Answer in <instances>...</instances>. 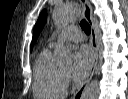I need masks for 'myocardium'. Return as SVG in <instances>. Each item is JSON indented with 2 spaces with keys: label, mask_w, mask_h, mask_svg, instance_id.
<instances>
[{
  "label": "myocardium",
  "mask_w": 128,
  "mask_h": 99,
  "mask_svg": "<svg viewBox=\"0 0 128 99\" xmlns=\"http://www.w3.org/2000/svg\"><path fill=\"white\" fill-rule=\"evenodd\" d=\"M64 81L68 80V75L66 72L61 71Z\"/></svg>",
  "instance_id": "obj_1"
}]
</instances>
